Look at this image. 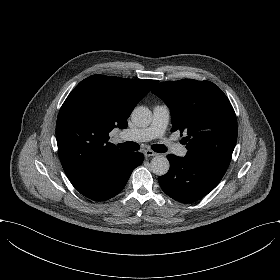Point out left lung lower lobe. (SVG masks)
Segmentation results:
<instances>
[{
	"label": "left lung lower lobe",
	"mask_w": 280,
	"mask_h": 280,
	"mask_svg": "<svg viewBox=\"0 0 280 280\" xmlns=\"http://www.w3.org/2000/svg\"><path fill=\"white\" fill-rule=\"evenodd\" d=\"M169 171L158 178L162 190L181 203L197 201L212 191L221 181L228 166L222 163L168 154Z\"/></svg>",
	"instance_id": "1"
}]
</instances>
